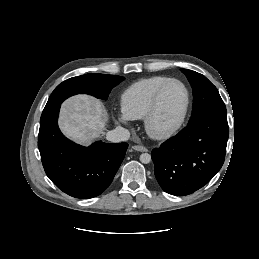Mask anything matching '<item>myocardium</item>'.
<instances>
[{
  "label": "myocardium",
  "instance_id": "myocardium-1",
  "mask_svg": "<svg viewBox=\"0 0 259 259\" xmlns=\"http://www.w3.org/2000/svg\"><path fill=\"white\" fill-rule=\"evenodd\" d=\"M171 83H179L184 88L185 93H186L185 107H184V110H183L179 120L173 126H171L170 128H168L166 130H157L153 126V120H154V117H155L158 107H159L161 94H162L163 90ZM190 105H191V93H190L188 86L180 79H177V78L167 79L156 89V91L153 95L151 104L144 116V128H145L146 133L151 138L157 139V140H163V139H167V138L173 136L184 124V122L187 118L189 109H190Z\"/></svg>",
  "mask_w": 259,
  "mask_h": 259
}]
</instances>
